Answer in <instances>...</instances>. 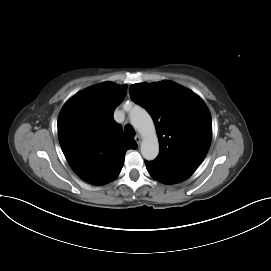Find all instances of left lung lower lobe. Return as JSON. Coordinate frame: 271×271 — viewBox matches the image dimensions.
I'll return each mask as SVG.
<instances>
[{
	"label": "left lung lower lobe",
	"mask_w": 271,
	"mask_h": 271,
	"mask_svg": "<svg viewBox=\"0 0 271 271\" xmlns=\"http://www.w3.org/2000/svg\"><path fill=\"white\" fill-rule=\"evenodd\" d=\"M147 171L157 181L165 184H175L187 179L194 170L170 164L167 162L154 160L145 161Z\"/></svg>",
	"instance_id": "0a47b994"
}]
</instances>
